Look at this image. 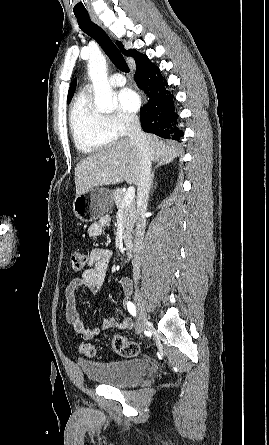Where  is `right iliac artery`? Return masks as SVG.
I'll list each match as a JSON object with an SVG mask.
<instances>
[{
  "label": "right iliac artery",
  "instance_id": "right-iliac-artery-1",
  "mask_svg": "<svg viewBox=\"0 0 269 445\" xmlns=\"http://www.w3.org/2000/svg\"><path fill=\"white\" fill-rule=\"evenodd\" d=\"M127 308L132 316H136V307L131 301L127 302Z\"/></svg>",
  "mask_w": 269,
  "mask_h": 445
}]
</instances>
